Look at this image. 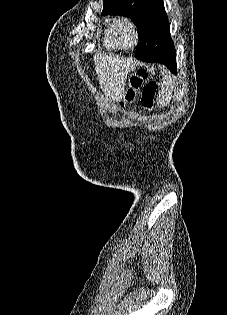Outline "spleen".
<instances>
[{"label": "spleen", "mask_w": 227, "mask_h": 315, "mask_svg": "<svg viewBox=\"0 0 227 315\" xmlns=\"http://www.w3.org/2000/svg\"><path fill=\"white\" fill-rule=\"evenodd\" d=\"M172 80L171 79H166L163 83V87L159 92L158 95V103L160 105H167L169 101L171 100L172 97Z\"/></svg>", "instance_id": "obj_1"}]
</instances>
